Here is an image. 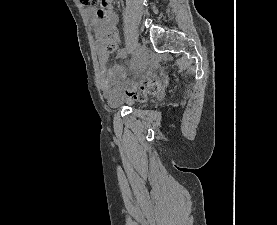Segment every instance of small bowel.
<instances>
[{"instance_id":"1","label":"small bowel","mask_w":277,"mask_h":225,"mask_svg":"<svg viewBox=\"0 0 277 225\" xmlns=\"http://www.w3.org/2000/svg\"><path fill=\"white\" fill-rule=\"evenodd\" d=\"M92 19V24L96 36V48L98 53V78L101 88L106 96L114 94L119 95L123 88L133 84L134 79L141 77L143 79H154L151 71H145V66H139L136 63L122 65L119 62L107 65L108 53L104 47L106 38H112L119 42L115 27L118 23V16L108 7V13L105 17L95 16L92 11L88 13ZM128 55L125 49L118 53L119 59H124ZM131 75V79H130Z\"/></svg>"}]
</instances>
